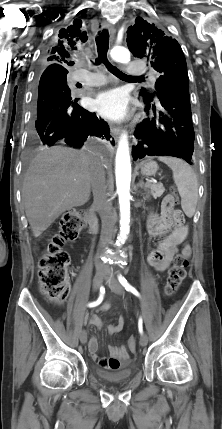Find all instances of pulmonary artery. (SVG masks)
<instances>
[{
    "mask_svg": "<svg viewBox=\"0 0 222 429\" xmlns=\"http://www.w3.org/2000/svg\"><path fill=\"white\" fill-rule=\"evenodd\" d=\"M128 73L133 76H140L146 74V68L140 66L137 62H131L127 65ZM77 80L82 82L87 86H100L107 82V79L102 74H92L89 73L87 69L84 68V63H79V69L76 71ZM84 74H89V77H84ZM150 79L154 81V77L150 76Z\"/></svg>",
    "mask_w": 222,
    "mask_h": 429,
    "instance_id": "obj_1",
    "label": "pulmonary artery"
}]
</instances>
